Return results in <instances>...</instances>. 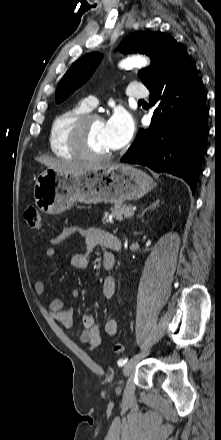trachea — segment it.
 Masks as SVG:
<instances>
[{"instance_id": "obj_1", "label": "trachea", "mask_w": 221, "mask_h": 440, "mask_svg": "<svg viewBox=\"0 0 221 440\" xmlns=\"http://www.w3.org/2000/svg\"><path fill=\"white\" fill-rule=\"evenodd\" d=\"M139 102H144V100H139Z\"/></svg>"}]
</instances>
